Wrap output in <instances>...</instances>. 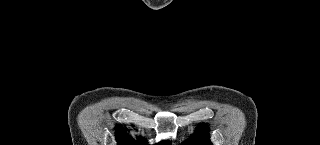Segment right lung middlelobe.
Returning a JSON list of instances; mask_svg holds the SVG:
<instances>
[{"label": "right lung middle lobe", "mask_w": 320, "mask_h": 145, "mask_svg": "<svg viewBox=\"0 0 320 145\" xmlns=\"http://www.w3.org/2000/svg\"><path fill=\"white\" fill-rule=\"evenodd\" d=\"M161 145H169V143L161 144Z\"/></svg>", "instance_id": "1"}]
</instances>
